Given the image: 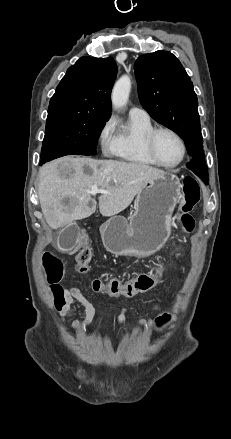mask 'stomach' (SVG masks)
Instances as JSON below:
<instances>
[{
	"instance_id": "0dacf381",
	"label": "stomach",
	"mask_w": 231,
	"mask_h": 439,
	"mask_svg": "<svg viewBox=\"0 0 231 439\" xmlns=\"http://www.w3.org/2000/svg\"><path fill=\"white\" fill-rule=\"evenodd\" d=\"M180 195L176 175L163 173L150 180L138 192L135 211L128 220L113 216L101 226L105 248L115 255L138 258L159 251L170 236L172 214Z\"/></svg>"
}]
</instances>
